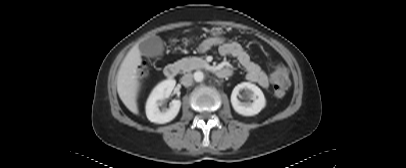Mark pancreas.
<instances>
[{"label": "pancreas", "instance_id": "pancreas-1", "mask_svg": "<svg viewBox=\"0 0 406 168\" xmlns=\"http://www.w3.org/2000/svg\"><path fill=\"white\" fill-rule=\"evenodd\" d=\"M178 64L182 70L192 71L194 69L203 68L206 65V62L202 58L192 57V58H183L178 61Z\"/></svg>", "mask_w": 406, "mask_h": 168}]
</instances>
